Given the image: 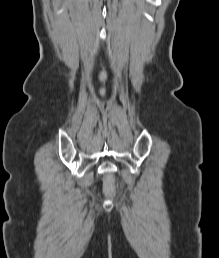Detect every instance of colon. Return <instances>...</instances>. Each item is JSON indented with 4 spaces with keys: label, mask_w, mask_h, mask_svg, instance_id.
I'll use <instances>...</instances> for the list:
<instances>
[{
    "label": "colon",
    "mask_w": 219,
    "mask_h": 258,
    "mask_svg": "<svg viewBox=\"0 0 219 258\" xmlns=\"http://www.w3.org/2000/svg\"><path fill=\"white\" fill-rule=\"evenodd\" d=\"M114 176L110 173L106 176L105 189L109 196L114 194Z\"/></svg>",
    "instance_id": "colon-1"
}]
</instances>
